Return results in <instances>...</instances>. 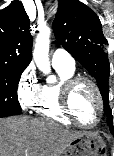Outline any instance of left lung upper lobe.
Here are the masks:
<instances>
[{
  "mask_svg": "<svg viewBox=\"0 0 114 156\" xmlns=\"http://www.w3.org/2000/svg\"><path fill=\"white\" fill-rule=\"evenodd\" d=\"M54 25L56 39L97 80L104 101V111L110 131L112 111L109 107L110 65L103 52L107 41L98 16L79 0H59Z\"/></svg>",
  "mask_w": 114,
  "mask_h": 156,
  "instance_id": "left-lung-upper-lobe-1",
  "label": "left lung upper lobe"
}]
</instances>
